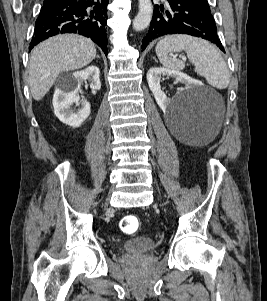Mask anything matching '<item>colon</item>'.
Instances as JSON below:
<instances>
[{"label": "colon", "mask_w": 267, "mask_h": 301, "mask_svg": "<svg viewBox=\"0 0 267 301\" xmlns=\"http://www.w3.org/2000/svg\"><path fill=\"white\" fill-rule=\"evenodd\" d=\"M140 219L135 215H126L120 221V229L126 234H134L139 231Z\"/></svg>", "instance_id": "obj_1"}]
</instances>
